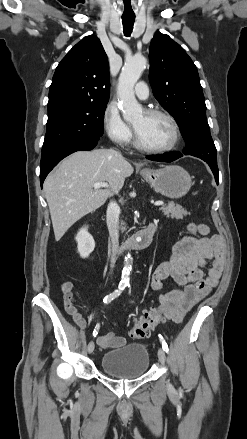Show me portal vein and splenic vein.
Instances as JSON below:
<instances>
[{
  "label": "portal vein and splenic vein",
  "mask_w": 247,
  "mask_h": 439,
  "mask_svg": "<svg viewBox=\"0 0 247 439\" xmlns=\"http://www.w3.org/2000/svg\"><path fill=\"white\" fill-rule=\"evenodd\" d=\"M91 187L92 188H94V189H99V188H107V187H109V184L108 183H105V182H98V183H94V184H92L91 185ZM116 193H118L117 191H116ZM155 206H162V205H164V202H162V201H156V202H154L153 203Z\"/></svg>",
  "instance_id": "portal-vein-and-splenic-vein-1"
}]
</instances>
